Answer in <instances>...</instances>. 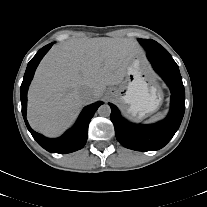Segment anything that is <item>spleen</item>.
<instances>
[{
	"label": "spleen",
	"instance_id": "spleen-1",
	"mask_svg": "<svg viewBox=\"0 0 207 207\" xmlns=\"http://www.w3.org/2000/svg\"><path fill=\"white\" fill-rule=\"evenodd\" d=\"M166 115V111L158 112L157 114L150 117L146 122L152 123L158 120H161Z\"/></svg>",
	"mask_w": 207,
	"mask_h": 207
}]
</instances>
